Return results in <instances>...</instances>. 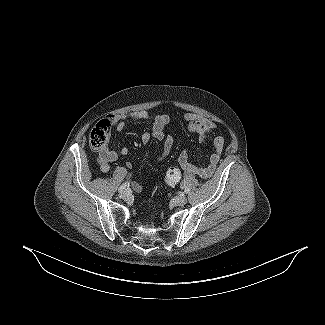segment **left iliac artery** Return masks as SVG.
<instances>
[{
	"label": "left iliac artery",
	"instance_id": "1",
	"mask_svg": "<svg viewBox=\"0 0 325 325\" xmlns=\"http://www.w3.org/2000/svg\"><path fill=\"white\" fill-rule=\"evenodd\" d=\"M186 194L189 192V189H185V191H184Z\"/></svg>",
	"mask_w": 325,
	"mask_h": 325
}]
</instances>
